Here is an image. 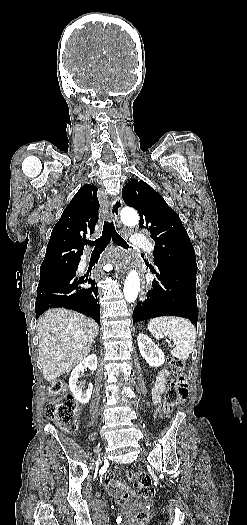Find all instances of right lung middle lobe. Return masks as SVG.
Segmentation results:
<instances>
[{
    "label": "right lung middle lobe",
    "mask_w": 247,
    "mask_h": 525,
    "mask_svg": "<svg viewBox=\"0 0 247 525\" xmlns=\"http://www.w3.org/2000/svg\"><path fill=\"white\" fill-rule=\"evenodd\" d=\"M77 258H60L54 260L47 267L40 269V280L55 274L64 273L75 269L78 264Z\"/></svg>",
    "instance_id": "dd1d6c3e"
}]
</instances>
